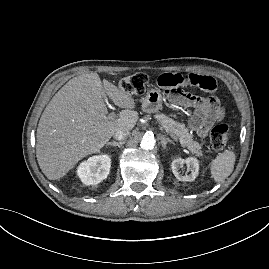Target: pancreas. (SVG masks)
<instances>
[{
    "mask_svg": "<svg viewBox=\"0 0 269 269\" xmlns=\"http://www.w3.org/2000/svg\"><path fill=\"white\" fill-rule=\"evenodd\" d=\"M156 119L163 125L170 136L179 140L183 147H186L198 157L203 156L200 144L193 139L184 124L176 122L164 114L156 115Z\"/></svg>",
    "mask_w": 269,
    "mask_h": 269,
    "instance_id": "pancreas-1",
    "label": "pancreas"
}]
</instances>
